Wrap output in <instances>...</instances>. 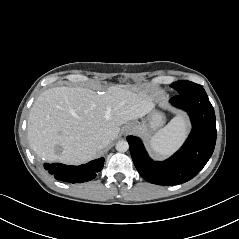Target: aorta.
I'll return each instance as SVG.
<instances>
[{
    "mask_svg": "<svg viewBox=\"0 0 239 239\" xmlns=\"http://www.w3.org/2000/svg\"><path fill=\"white\" fill-rule=\"evenodd\" d=\"M129 149V144L127 141L121 140L116 144V150L118 152H126Z\"/></svg>",
    "mask_w": 239,
    "mask_h": 239,
    "instance_id": "obj_1",
    "label": "aorta"
}]
</instances>
